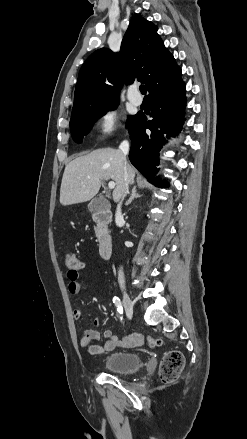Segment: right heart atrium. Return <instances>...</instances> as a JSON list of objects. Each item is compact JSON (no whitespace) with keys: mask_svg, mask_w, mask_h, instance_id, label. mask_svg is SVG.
Segmentation results:
<instances>
[{"mask_svg":"<svg viewBox=\"0 0 247 439\" xmlns=\"http://www.w3.org/2000/svg\"><path fill=\"white\" fill-rule=\"evenodd\" d=\"M97 132L101 139L111 136L118 129L119 117L115 108L103 109L96 119Z\"/></svg>","mask_w":247,"mask_h":439,"instance_id":"1","label":"right heart atrium"}]
</instances>
